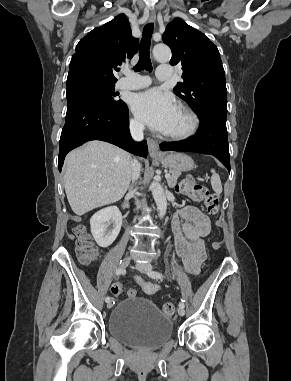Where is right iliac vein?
I'll return each mask as SVG.
<instances>
[{
    "label": "right iliac vein",
    "instance_id": "1",
    "mask_svg": "<svg viewBox=\"0 0 291 381\" xmlns=\"http://www.w3.org/2000/svg\"><path fill=\"white\" fill-rule=\"evenodd\" d=\"M130 262H131V258L130 257H126L124 258L121 262H120V267L121 268H126L130 265ZM113 307V300H110L108 303H107V308L110 309Z\"/></svg>",
    "mask_w": 291,
    "mask_h": 381
}]
</instances>
